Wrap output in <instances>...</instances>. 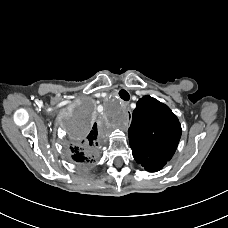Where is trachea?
<instances>
[{
    "instance_id": "trachea-1",
    "label": "trachea",
    "mask_w": 228,
    "mask_h": 228,
    "mask_svg": "<svg viewBox=\"0 0 228 228\" xmlns=\"http://www.w3.org/2000/svg\"><path fill=\"white\" fill-rule=\"evenodd\" d=\"M119 96L124 101H128L130 99V95H129V93L126 90H120L119 91Z\"/></svg>"
}]
</instances>
